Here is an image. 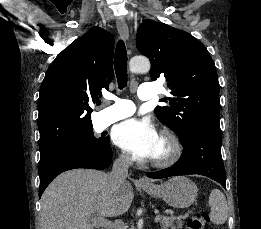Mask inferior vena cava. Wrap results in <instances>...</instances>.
<instances>
[{
    "instance_id": "obj_1",
    "label": "inferior vena cava",
    "mask_w": 261,
    "mask_h": 229,
    "mask_svg": "<svg viewBox=\"0 0 261 229\" xmlns=\"http://www.w3.org/2000/svg\"><path fill=\"white\" fill-rule=\"evenodd\" d=\"M131 163L128 157H124L121 155L119 159H116L113 163L112 171L109 173V181L114 189L117 191L121 185H124L127 177H128V169Z\"/></svg>"
}]
</instances>
